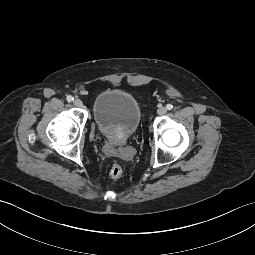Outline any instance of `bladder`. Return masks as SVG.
I'll return each instance as SVG.
<instances>
[{"label": "bladder", "mask_w": 255, "mask_h": 255, "mask_svg": "<svg viewBox=\"0 0 255 255\" xmlns=\"http://www.w3.org/2000/svg\"><path fill=\"white\" fill-rule=\"evenodd\" d=\"M92 112L97 129L105 136H131L138 129L142 117L137 99L122 90H107L98 94Z\"/></svg>", "instance_id": "obj_1"}]
</instances>
